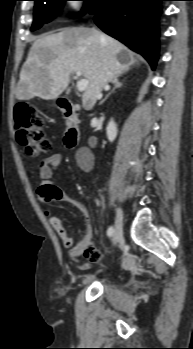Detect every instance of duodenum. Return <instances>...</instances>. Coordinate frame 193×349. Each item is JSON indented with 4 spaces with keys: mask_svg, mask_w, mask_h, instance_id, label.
Here are the masks:
<instances>
[{
    "mask_svg": "<svg viewBox=\"0 0 193 349\" xmlns=\"http://www.w3.org/2000/svg\"><path fill=\"white\" fill-rule=\"evenodd\" d=\"M58 107L63 113L67 130L64 142L68 148H75L80 140V127L77 119L76 106L74 102L67 99H59Z\"/></svg>",
    "mask_w": 193,
    "mask_h": 349,
    "instance_id": "410a0bca",
    "label": "duodenum"
}]
</instances>
